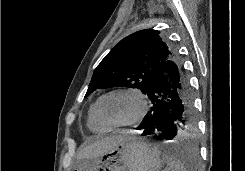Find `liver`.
I'll list each match as a JSON object with an SVG mask.
<instances>
[{"instance_id":"liver-1","label":"liver","mask_w":245,"mask_h":171,"mask_svg":"<svg viewBox=\"0 0 245 171\" xmlns=\"http://www.w3.org/2000/svg\"><path fill=\"white\" fill-rule=\"evenodd\" d=\"M128 134L113 135L95 140L91 144L83 147L77 154L78 160L94 159L107 153L117 147L125 139L129 138Z\"/></svg>"}]
</instances>
